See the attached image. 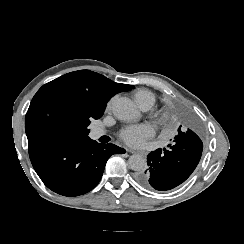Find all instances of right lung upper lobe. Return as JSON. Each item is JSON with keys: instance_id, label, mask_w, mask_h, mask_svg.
Listing matches in <instances>:
<instances>
[{"instance_id": "1", "label": "right lung upper lobe", "mask_w": 244, "mask_h": 244, "mask_svg": "<svg viewBox=\"0 0 244 244\" xmlns=\"http://www.w3.org/2000/svg\"><path fill=\"white\" fill-rule=\"evenodd\" d=\"M62 86L85 93L95 101L105 104L116 93L130 90L131 85L121 84L90 70H79L65 74L40 88V91Z\"/></svg>"}]
</instances>
